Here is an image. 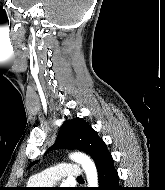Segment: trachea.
<instances>
[{
  "mask_svg": "<svg viewBox=\"0 0 165 190\" xmlns=\"http://www.w3.org/2000/svg\"><path fill=\"white\" fill-rule=\"evenodd\" d=\"M78 179H82V177H78Z\"/></svg>",
  "mask_w": 165,
  "mask_h": 190,
  "instance_id": "1",
  "label": "trachea"
}]
</instances>
